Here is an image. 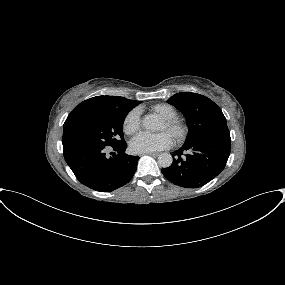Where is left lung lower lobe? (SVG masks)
<instances>
[{
  "mask_svg": "<svg viewBox=\"0 0 285 285\" xmlns=\"http://www.w3.org/2000/svg\"><path fill=\"white\" fill-rule=\"evenodd\" d=\"M231 138L205 135L185 144L173 153L171 166L162 169L173 184L185 188H198L222 172L230 155ZM185 150L192 151L182 158Z\"/></svg>",
  "mask_w": 285,
  "mask_h": 285,
  "instance_id": "1",
  "label": "left lung lower lobe"
}]
</instances>
